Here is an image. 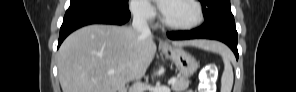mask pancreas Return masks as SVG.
<instances>
[{
  "label": "pancreas",
  "mask_w": 296,
  "mask_h": 92,
  "mask_svg": "<svg viewBox=\"0 0 296 92\" xmlns=\"http://www.w3.org/2000/svg\"><path fill=\"white\" fill-rule=\"evenodd\" d=\"M190 81L182 76L176 79V82L172 84V89L174 92H183L189 87Z\"/></svg>",
  "instance_id": "obj_1"
}]
</instances>
